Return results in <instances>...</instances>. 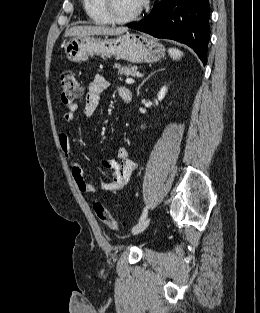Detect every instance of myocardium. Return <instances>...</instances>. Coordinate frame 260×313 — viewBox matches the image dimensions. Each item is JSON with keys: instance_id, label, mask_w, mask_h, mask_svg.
Here are the masks:
<instances>
[{"instance_id": "f54148a6", "label": "myocardium", "mask_w": 260, "mask_h": 313, "mask_svg": "<svg viewBox=\"0 0 260 313\" xmlns=\"http://www.w3.org/2000/svg\"><path fill=\"white\" fill-rule=\"evenodd\" d=\"M101 6L107 18L110 20V22L122 24V23L131 22L135 20L136 18H138V16L141 14L145 6V1L140 4L139 8L135 12L124 17L118 16L115 13L113 0H101Z\"/></svg>"}]
</instances>
